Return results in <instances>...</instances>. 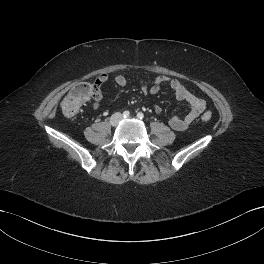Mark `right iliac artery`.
<instances>
[{
    "mask_svg": "<svg viewBox=\"0 0 264 264\" xmlns=\"http://www.w3.org/2000/svg\"><path fill=\"white\" fill-rule=\"evenodd\" d=\"M122 115H123L124 118H128L130 116V112L129 111H124Z\"/></svg>",
    "mask_w": 264,
    "mask_h": 264,
    "instance_id": "obj_1",
    "label": "right iliac artery"
}]
</instances>
